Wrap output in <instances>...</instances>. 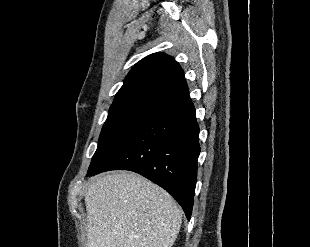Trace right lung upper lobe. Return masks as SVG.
I'll return each instance as SVG.
<instances>
[{
    "label": "right lung upper lobe",
    "instance_id": "1",
    "mask_svg": "<svg viewBox=\"0 0 310 247\" xmlns=\"http://www.w3.org/2000/svg\"><path fill=\"white\" fill-rule=\"evenodd\" d=\"M189 97L184 72L164 53H154L140 60L128 73L109 112L146 106L159 112Z\"/></svg>",
    "mask_w": 310,
    "mask_h": 247
}]
</instances>
